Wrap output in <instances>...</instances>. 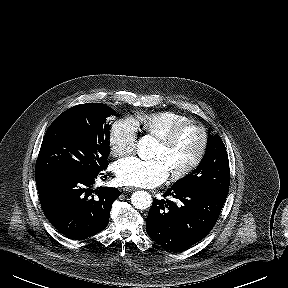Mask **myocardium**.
<instances>
[{
  "instance_id": "f54148a6",
  "label": "myocardium",
  "mask_w": 288,
  "mask_h": 288,
  "mask_svg": "<svg viewBox=\"0 0 288 288\" xmlns=\"http://www.w3.org/2000/svg\"><path fill=\"white\" fill-rule=\"evenodd\" d=\"M189 126H194L198 129L200 133V146L197 151V154L195 157L183 168L171 172L172 179L178 180L186 177L189 175L194 169L197 168V166L201 163L203 160V157L205 155L207 146H208V133L205 128V126L194 119H187L185 121H182L174 126H172L170 129H168L164 134L159 136L157 140L162 143L165 146L170 145L173 143V141L177 138V136L183 132L186 128Z\"/></svg>"
}]
</instances>
